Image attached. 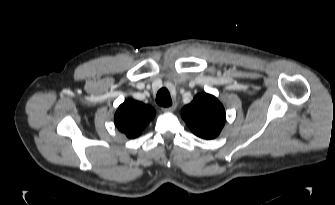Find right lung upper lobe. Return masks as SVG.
<instances>
[{"label":"right lung upper lobe","instance_id":"obj_1","mask_svg":"<svg viewBox=\"0 0 335 205\" xmlns=\"http://www.w3.org/2000/svg\"><path fill=\"white\" fill-rule=\"evenodd\" d=\"M155 114V110L151 106L128 100L119 106L114 120L117 128L128 138H136L155 117Z\"/></svg>","mask_w":335,"mask_h":205}]
</instances>
